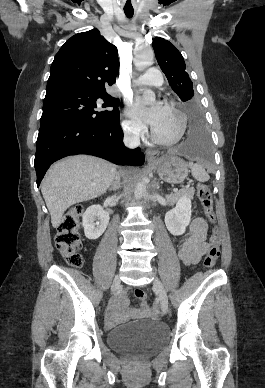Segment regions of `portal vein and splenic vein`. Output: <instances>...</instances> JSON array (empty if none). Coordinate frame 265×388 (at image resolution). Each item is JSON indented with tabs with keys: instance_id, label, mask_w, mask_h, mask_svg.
Segmentation results:
<instances>
[{
	"instance_id": "obj_1",
	"label": "portal vein and splenic vein",
	"mask_w": 265,
	"mask_h": 388,
	"mask_svg": "<svg viewBox=\"0 0 265 388\" xmlns=\"http://www.w3.org/2000/svg\"><path fill=\"white\" fill-rule=\"evenodd\" d=\"M173 192H177V190H173Z\"/></svg>"
}]
</instances>
